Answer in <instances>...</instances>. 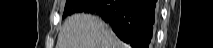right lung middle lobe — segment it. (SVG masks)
<instances>
[{"instance_id": "obj_1", "label": "right lung middle lobe", "mask_w": 213, "mask_h": 48, "mask_svg": "<svg viewBox=\"0 0 213 48\" xmlns=\"http://www.w3.org/2000/svg\"><path fill=\"white\" fill-rule=\"evenodd\" d=\"M89 0H67L63 18L75 12H82Z\"/></svg>"}]
</instances>
